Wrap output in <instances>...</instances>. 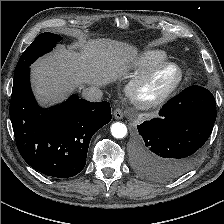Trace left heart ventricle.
<instances>
[{"label": "left heart ventricle", "instance_id": "obj_1", "mask_svg": "<svg viewBox=\"0 0 224 224\" xmlns=\"http://www.w3.org/2000/svg\"><path fill=\"white\" fill-rule=\"evenodd\" d=\"M173 72L170 70L163 71L157 75L145 90L146 96H154L160 93L171 81Z\"/></svg>", "mask_w": 224, "mask_h": 224}]
</instances>
